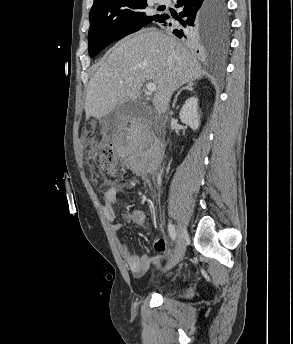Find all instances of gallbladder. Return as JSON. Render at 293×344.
Segmentation results:
<instances>
[{
    "label": "gallbladder",
    "instance_id": "obj_1",
    "mask_svg": "<svg viewBox=\"0 0 293 344\" xmlns=\"http://www.w3.org/2000/svg\"><path fill=\"white\" fill-rule=\"evenodd\" d=\"M142 103L138 101H128L116 107V115H132L139 116L141 113Z\"/></svg>",
    "mask_w": 293,
    "mask_h": 344
}]
</instances>
